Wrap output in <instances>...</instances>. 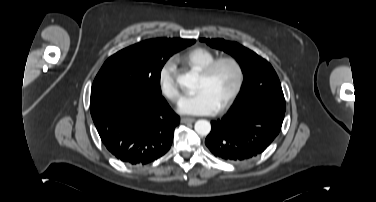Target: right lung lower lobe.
I'll list each match as a JSON object with an SVG mask.
<instances>
[{
    "mask_svg": "<svg viewBox=\"0 0 376 202\" xmlns=\"http://www.w3.org/2000/svg\"><path fill=\"white\" fill-rule=\"evenodd\" d=\"M90 110L102 142L126 164H147L163 156L180 122L161 95L134 88L91 92Z\"/></svg>",
    "mask_w": 376,
    "mask_h": 202,
    "instance_id": "right-lung-lower-lobe-1",
    "label": "right lung lower lobe"
}]
</instances>
